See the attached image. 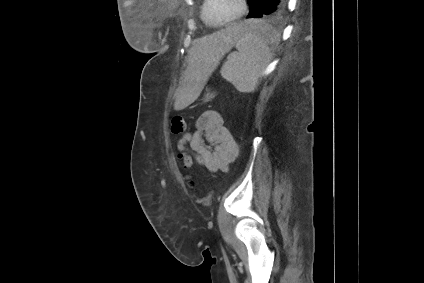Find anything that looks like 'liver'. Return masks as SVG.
<instances>
[{
    "instance_id": "1",
    "label": "liver",
    "mask_w": 424,
    "mask_h": 283,
    "mask_svg": "<svg viewBox=\"0 0 424 283\" xmlns=\"http://www.w3.org/2000/svg\"><path fill=\"white\" fill-rule=\"evenodd\" d=\"M245 31L244 24H233L194 41L188 52L184 83L175 93V110H182L196 100L222 56L239 41Z\"/></svg>"
}]
</instances>
